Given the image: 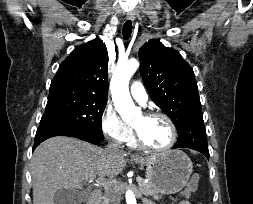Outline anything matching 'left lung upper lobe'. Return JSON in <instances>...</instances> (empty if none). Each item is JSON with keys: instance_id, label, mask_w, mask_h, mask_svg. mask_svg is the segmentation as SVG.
<instances>
[{"instance_id": "left-lung-upper-lobe-1", "label": "left lung upper lobe", "mask_w": 253, "mask_h": 204, "mask_svg": "<svg viewBox=\"0 0 253 204\" xmlns=\"http://www.w3.org/2000/svg\"><path fill=\"white\" fill-rule=\"evenodd\" d=\"M140 71L155 104L173 121L177 131L202 114L193 69L180 53L152 39L139 49Z\"/></svg>"}]
</instances>
